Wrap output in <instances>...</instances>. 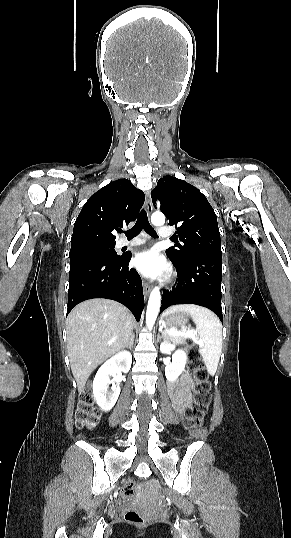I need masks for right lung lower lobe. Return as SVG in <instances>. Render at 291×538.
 Masks as SVG:
<instances>
[{
    "mask_svg": "<svg viewBox=\"0 0 291 538\" xmlns=\"http://www.w3.org/2000/svg\"><path fill=\"white\" fill-rule=\"evenodd\" d=\"M130 259L131 255L71 262L67 314L82 301L107 298L125 305L139 320L144 308L142 281L137 271L128 267Z\"/></svg>",
    "mask_w": 291,
    "mask_h": 538,
    "instance_id": "right-lung-lower-lobe-1",
    "label": "right lung lower lobe"
}]
</instances>
